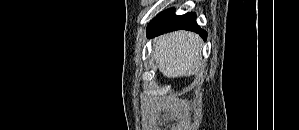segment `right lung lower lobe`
Returning a JSON list of instances; mask_svg holds the SVG:
<instances>
[{"label":"right lung lower lobe","instance_id":"1","mask_svg":"<svg viewBox=\"0 0 299 130\" xmlns=\"http://www.w3.org/2000/svg\"><path fill=\"white\" fill-rule=\"evenodd\" d=\"M174 12L175 9L172 8L157 15L147 26L148 37L184 29L199 33L204 40L207 39L206 31L201 29L196 23L195 13L176 16Z\"/></svg>","mask_w":299,"mask_h":130}]
</instances>
